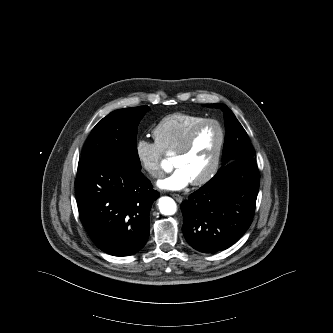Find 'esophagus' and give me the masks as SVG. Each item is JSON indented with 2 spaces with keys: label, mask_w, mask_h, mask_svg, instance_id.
<instances>
[{
  "label": "esophagus",
  "mask_w": 333,
  "mask_h": 333,
  "mask_svg": "<svg viewBox=\"0 0 333 333\" xmlns=\"http://www.w3.org/2000/svg\"><path fill=\"white\" fill-rule=\"evenodd\" d=\"M172 197L179 203L183 201V197L180 196L179 194H172Z\"/></svg>",
  "instance_id": "34e87169"
}]
</instances>
